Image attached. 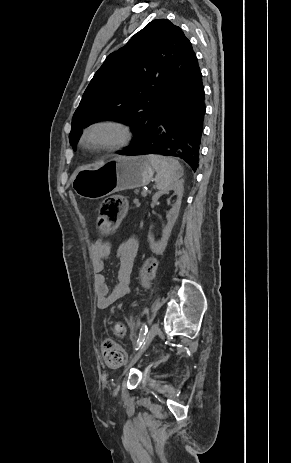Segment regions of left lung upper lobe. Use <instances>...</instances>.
Masks as SVG:
<instances>
[{
  "mask_svg": "<svg viewBox=\"0 0 291 463\" xmlns=\"http://www.w3.org/2000/svg\"><path fill=\"white\" fill-rule=\"evenodd\" d=\"M197 70L196 54L183 31L166 19L150 22L95 73L73 115L70 144L76 148L83 128L115 120L131 127L134 138L124 151L131 149L170 94Z\"/></svg>",
  "mask_w": 291,
  "mask_h": 463,
  "instance_id": "obj_1",
  "label": "left lung upper lobe"
}]
</instances>
